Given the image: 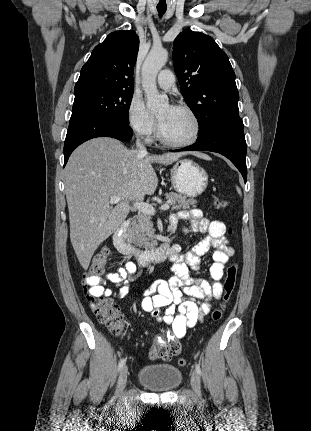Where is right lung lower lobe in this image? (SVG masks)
Instances as JSON below:
<instances>
[{
	"label": "right lung lower lobe",
	"mask_w": 311,
	"mask_h": 431,
	"mask_svg": "<svg viewBox=\"0 0 311 431\" xmlns=\"http://www.w3.org/2000/svg\"><path fill=\"white\" fill-rule=\"evenodd\" d=\"M104 136L129 141L132 137V129L129 122L105 117H86L70 122L64 143V167L77 146L89 139Z\"/></svg>",
	"instance_id": "1"
}]
</instances>
